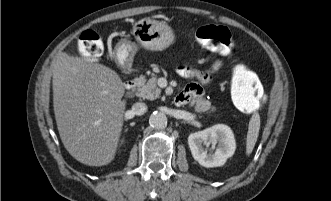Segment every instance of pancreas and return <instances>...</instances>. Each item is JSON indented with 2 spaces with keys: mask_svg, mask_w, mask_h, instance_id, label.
Here are the masks:
<instances>
[{
  "mask_svg": "<svg viewBox=\"0 0 331 201\" xmlns=\"http://www.w3.org/2000/svg\"><path fill=\"white\" fill-rule=\"evenodd\" d=\"M135 82L137 84V96L149 100H154L160 96L161 89L157 86L155 74H152L148 81H146L144 76H140L135 79ZM194 109L199 113L215 110V108L211 106V103L205 99L196 100Z\"/></svg>",
  "mask_w": 331,
  "mask_h": 201,
  "instance_id": "cf45deb5",
  "label": "pancreas"
}]
</instances>
